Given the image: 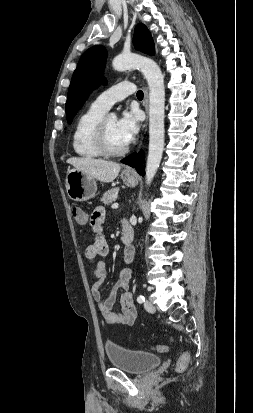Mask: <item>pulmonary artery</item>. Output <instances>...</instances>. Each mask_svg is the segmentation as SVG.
<instances>
[{
	"label": "pulmonary artery",
	"instance_id": "e3ab8cb5",
	"mask_svg": "<svg viewBox=\"0 0 253 413\" xmlns=\"http://www.w3.org/2000/svg\"><path fill=\"white\" fill-rule=\"evenodd\" d=\"M135 92V85L129 81L120 82L102 92L92 103L97 109L107 112L116 102Z\"/></svg>",
	"mask_w": 253,
	"mask_h": 413
}]
</instances>
